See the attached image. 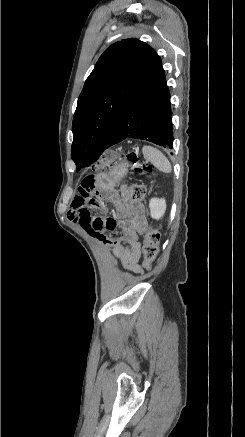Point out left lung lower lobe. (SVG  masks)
Returning <instances> with one entry per match:
<instances>
[{"mask_svg":"<svg viewBox=\"0 0 245 437\" xmlns=\"http://www.w3.org/2000/svg\"><path fill=\"white\" fill-rule=\"evenodd\" d=\"M171 116L170 93L158 56L120 112L105 149L126 138L142 139L172 149Z\"/></svg>","mask_w":245,"mask_h":437,"instance_id":"left-lung-lower-lobe-1","label":"left lung lower lobe"}]
</instances>
